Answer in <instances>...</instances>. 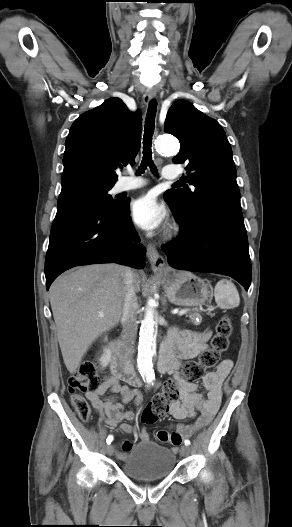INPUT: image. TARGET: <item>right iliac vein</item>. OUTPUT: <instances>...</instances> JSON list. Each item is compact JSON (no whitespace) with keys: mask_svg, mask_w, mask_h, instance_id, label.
Returning a JSON list of instances; mask_svg holds the SVG:
<instances>
[{"mask_svg":"<svg viewBox=\"0 0 292 527\" xmlns=\"http://www.w3.org/2000/svg\"><path fill=\"white\" fill-rule=\"evenodd\" d=\"M113 452H114L113 446L112 445H107L106 446V453L111 456L113 454Z\"/></svg>","mask_w":292,"mask_h":527,"instance_id":"1","label":"right iliac vein"}]
</instances>
